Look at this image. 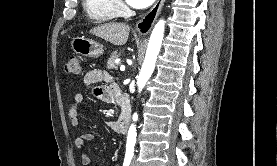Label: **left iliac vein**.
<instances>
[{"label":"left iliac vein","mask_w":277,"mask_h":166,"mask_svg":"<svg viewBox=\"0 0 277 166\" xmlns=\"http://www.w3.org/2000/svg\"><path fill=\"white\" fill-rule=\"evenodd\" d=\"M131 166H136V164H135V162H134V161H132Z\"/></svg>","instance_id":"obj_1"}]
</instances>
